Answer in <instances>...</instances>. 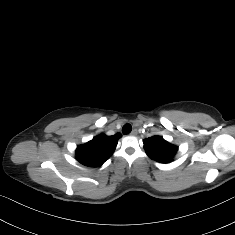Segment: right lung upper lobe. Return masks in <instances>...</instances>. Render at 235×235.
<instances>
[{
  "label": "right lung upper lobe",
  "instance_id": "cb5924a9",
  "mask_svg": "<svg viewBox=\"0 0 235 235\" xmlns=\"http://www.w3.org/2000/svg\"><path fill=\"white\" fill-rule=\"evenodd\" d=\"M121 134L113 136L100 134L76 149L77 160L88 167L101 166L114 152Z\"/></svg>",
  "mask_w": 235,
  "mask_h": 235
}]
</instances>
